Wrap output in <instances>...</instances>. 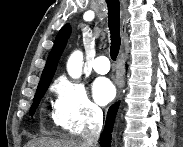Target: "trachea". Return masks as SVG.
Segmentation results:
<instances>
[{
  "instance_id": "obj_1",
  "label": "trachea",
  "mask_w": 183,
  "mask_h": 147,
  "mask_svg": "<svg viewBox=\"0 0 183 147\" xmlns=\"http://www.w3.org/2000/svg\"><path fill=\"white\" fill-rule=\"evenodd\" d=\"M108 25L111 34L110 56L116 60L120 50V3L119 0H107Z\"/></svg>"
}]
</instances>
